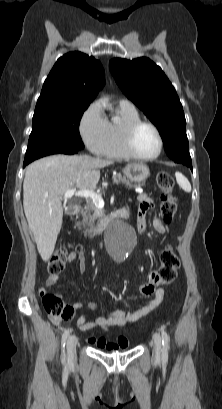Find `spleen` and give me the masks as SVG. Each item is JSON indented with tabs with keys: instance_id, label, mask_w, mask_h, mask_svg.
Masks as SVG:
<instances>
[{
	"instance_id": "3e777b00",
	"label": "spleen",
	"mask_w": 222,
	"mask_h": 409,
	"mask_svg": "<svg viewBox=\"0 0 222 409\" xmlns=\"http://www.w3.org/2000/svg\"><path fill=\"white\" fill-rule=\"evenodd\" d=\"M175 177L179 186L186 192H191V184L188 179L180 172L175 173Z\"/></svg>"
}]
</instances>
